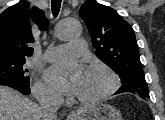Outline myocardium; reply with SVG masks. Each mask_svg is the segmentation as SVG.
Segmentation results:
<instances>
[{
    "instance_id": "myocardium-1",
    "label": "myocardium",
    "mask_w": 165,
    "mask_h": 120,
    "mask_svg": "<svg viewBox=\"0 0 165 120\" xmlns=\"http://www.w3.org/2000/svg\"><path fill=\"white\" fill-rule=\"evenodd\" d=\"M88 70H100L106 73L110 79V84L108 88L101 93L100 95L93 97V98H80L76 97V101L82 105H92L100 103L107 98H109L111 95H113L119 88L120 85V79L118 74L107 64L102 62H95L88 65Z\"/></svg>"
}]
</instances>
